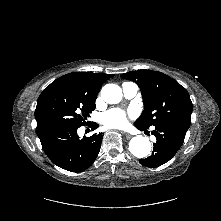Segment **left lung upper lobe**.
Segmentation results:
<instances>
[{
    "mask_svg": "<svg viewBox=\"0 0 221 221\" xmlns=\"http://www.w3.org/2000/svg\"><path fill=\"white\" fill-rule=\"evenodd\" d=\"M121 77L137 83L141 89L145 109L135 125L145 129L160 125L189 128L192 102L187 90L177 81L152 70L131 71Z\"/></svg>",
    "mask_w": 221,
    "mask_h": 221,
    "instance_id": "left-lung-upper-lobe-1",
    "label": "left lung upper lobe"
}]
</instances>
